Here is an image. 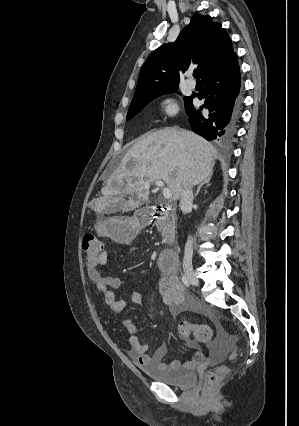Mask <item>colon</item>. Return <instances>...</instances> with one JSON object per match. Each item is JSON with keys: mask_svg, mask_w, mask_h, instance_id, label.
<instances>
[{"mask_svg": "<svg viewBox=\"0 0 299 426\" xmlns=\"http://www.w3.org/2000/svg\"><path fill=\"white\" fill-rule=\"evenodd\" d=\"M102 249L103 244L96 236L93 234H86L84 236L82 250L87 267H94L97 265ZM178 331L182 337H193L195 341L200 343H207L212 337V330L209 326L204 324H192L187 321H182L178 325ZM219 332L224 334L221 328H219ZM230 338L233 339V336H230ZM227 372L228 369L226 366H217L207 374L202 390V395L205 399L213 395L216 387L224 379Z\"/></svg>", "mask_w": 299, "mask_h": 426, "instance_id": "colon-1", "label": "colon"}]
</instances>
